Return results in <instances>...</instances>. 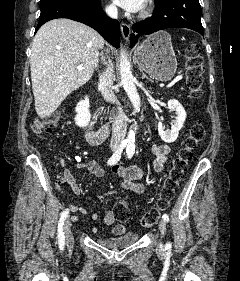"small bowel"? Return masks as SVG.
I'll list each match as a JSON object with an SVG mask.
<instances>
[{
    "instance_id": "c3829d8e",
    "label": "small bowel",
    "mask_w": 240,
    "mask_h": 281,
    "mask_svg": "<svg viewBox=\"0 0 240 281\" xmlns=\"http://www.w3.org/2000/svg\"><path fill=\"white\" fill-rule=\"evenodd\" d=\"M170 146L167 144H155L153 146V153L155 155L154 160V169L156 171H161L163 169L164 163L168 159V156L170 154ZM63 166L65 167L62 173V179L65 181L72 189V191L76 195H80L82 190L80 186L78 185L75 177L73 176L71 170L66 167L65 163L62 162ZM77 168H85L89 170L94 176L96 177H103L104 176V169L97 164L94 161L89 162H76ZM112 173L122 179L121 187L125 190L131 191L135 194L141 195L145 191L144 185L141 183V179L143 177V173L141 169L136 165L131 166H121V165H115L111 168ZM56 189H61L60 182L56 183ZM69 209L72 212H80L84 215H90V218L92 220H96L98 218V215L96 213H90L85 207L79 204H70ZM72 220L74 222L78 221L77 216H72ZM116 219L114 217V213L111 210H108L105 212L103 217V223L111 227V233L113 235H121L125 232V226L122 224H116ZM93 232L97 233V229L93 228Z\"/></svg>"
}]
</instances>
